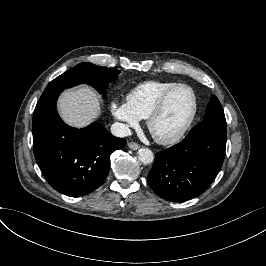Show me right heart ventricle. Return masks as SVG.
Wrapping results in <instances>:
<instances>
[{
	"instance_id": "e07e8e85",
	"label": "right heart ventricle",
	"mask_w": 266,
	"mask_h": 266,
	"mask_svg": "<svg viewBox=\"0 0 266 266\" xmlns=\"http://www.w3.org/2000/svg\"><path fill=\"white\" fill-rule=\"evenodd\" d=\"M177 83L179 82L172 80H151L143 82L130 91L128 103L139 119H146L160 96Z\"/></svg>"
}]
</instances>
